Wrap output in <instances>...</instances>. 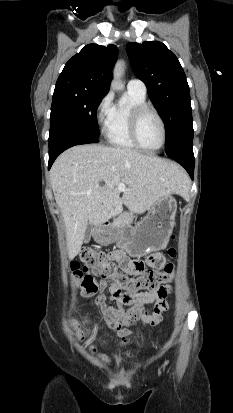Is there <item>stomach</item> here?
Wrapping results in <instances>:
<instances>
[{"label": "stomach", "instance_id": "1", "mask_svg": "<svg viewBox=\"0 0 233 413\" xmlns=\"http://www.w3.org/2000/svg\"><path fill=\"white\" fill-rule=\"evenodd\" d=\"M176 211V200L167 195L153 204L136 226L104 225L94 231V239L99 244L117 240L128 255L142 257L166 247L175 225Z\"/></svg>", "mask_w": 233, "mask_h": 413}]
</instances>
